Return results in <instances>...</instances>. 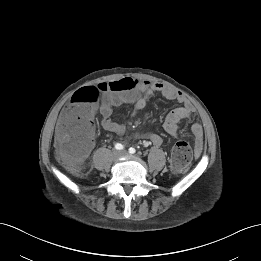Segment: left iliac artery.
<instances>
[{
    "mask_svg": "<svg viewBox=\"0 0 261 261\" xmlns=\"http://www.w3.org/2000/svg\"><path fill=\"white\" fill-rule=\"evenodd\" d=\"M136 152L135 148L131 147L129 148V153L134 154Z\"/></svg>",
    "mask_w": 261,
    "mask_h": 261,
    "instance_id": "obj_1",
    "label": "left iliac artery"
}]
</instances>
